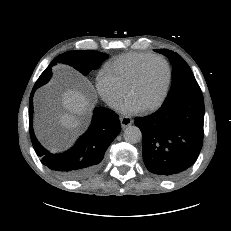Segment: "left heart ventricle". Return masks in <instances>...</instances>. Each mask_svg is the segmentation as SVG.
<instances>
[{"instance_id": "b2bd125f", "label": "left heart ventricle", "mask_w": 231, "mask_h": 231, "mask_svg": "<svg viewBox=\"0 0 231 231\" xmlns=\"http://www.w3.org/2000/svg\"><path fill=\"white\" fill-rule=\"evenodd\" d=\"M166 76L167 70L162 61H150L144 68L139 82L130 92L129 98L142 108L151 105L159 98Z\"/></svg>"}]
</instances>
